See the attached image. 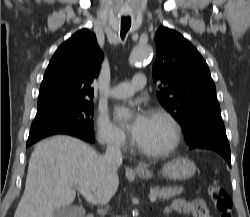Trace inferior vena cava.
<instances>
[{"label":"inferior vena cava","mask_w":250,"mask_h":217,"mask_svg":"<svg viewBox=\"0 0 250 217\" xmlns=\"http://www.w3.org/2000/svg\"><path fill=\"white\" fill-rule=\"evenodd\" d=\"M122 160L123 157L119 145L114 142L108 144L104 156L106 164H108L114 171H117L118 167L122 164Z\"/></svg>","instance_id":"602c4592"}]
</instances>
